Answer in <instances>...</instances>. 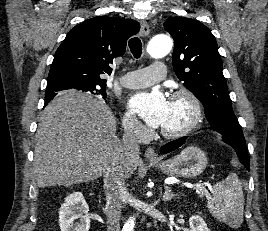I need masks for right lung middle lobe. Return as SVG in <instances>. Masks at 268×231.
<instances>
[{
	"label": "right lung middle lobe",
	"instance_id": "1",
	"mask_svg": "<svg viewBox=\"0 0 268 231\" xmlns=\"http://www.w3.org/2000/svg\"><path fill=\"white\" fill-rule=\"evenodd\" d=\"M66 89H77L82 90L86 92H90L92 94L102 95L103 98H106V93L104 90V87H85V88H63V87H54V88H48L46 89V95L53 94L57 95V91L66 90Z\"/></svg>",
	"mask_w": 268,
	"mask_h": 231
}]
</instances>
